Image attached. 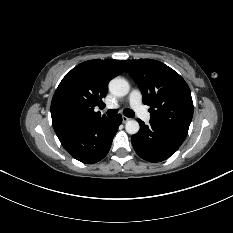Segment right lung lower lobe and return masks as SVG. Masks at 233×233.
I'll return each instance as SVG.
<instances>
[{
    "label": "right lung lower lobe",
    "mask_w": 233,
    "mask_h": 233,
    "mask_svg": "<svg viewBox=\"0 0 233 233\" xmlns=\"http://www.w3.org/2000/svg\"><path fill=\"white\" fill-rule=\"evenodd\" d=\"M122 123L120 114L93 119L57 132L62 146L78 161L96 163L111 147L113 137Z\"/></svg>",
    "instance_id": "right-lung-lower-lobe-1"
}]
</instances>
